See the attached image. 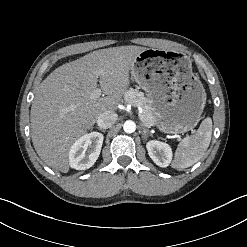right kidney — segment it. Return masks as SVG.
<instances>
[{
    "label": "right kidney",
    "mask_w": 247,
    "mask_h": 247,
    "mask_svg": "<svg viewBox=\"0 0 247 247\" xmlns=\"http://www.w3.org/2000/svg\"><path fill=\"white\" fill-rule=\"evenodd\" d=\"M104 136L91 132L78 138L69 150V164L76 170H86L94 165L101 152Z\"/></svg>",
    "instance_id": "obj_1"
}]
</instances>
